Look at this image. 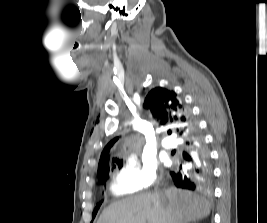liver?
I'll list each match as a JSON object with an SVG mask.
<instances>
[{
	"instance_id": "obj_1",
	"label": "liver",
	"mask_w": 267,
	"mask_h": 223,
	"mask_svg": "<svg viewBox=\"0 0 267 223\" xmlns=\"http://www.w3.org/2000/svg\"><path fill=\"white\" fill-rule=\"evenodd\" d=\"M210 208L205 198L171 187L115 202L97 223H189L207 217Z\"/></svg>"
}]
</instances>
